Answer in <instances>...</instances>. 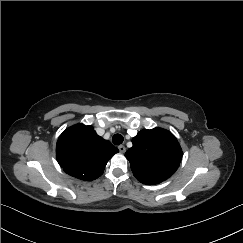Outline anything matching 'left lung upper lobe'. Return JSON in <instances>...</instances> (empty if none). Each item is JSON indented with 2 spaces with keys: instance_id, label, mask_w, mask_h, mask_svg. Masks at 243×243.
<instances>
[{
  "instance_id": "5c2ea615",
  "label": "left lung upper lobe",
  "mask_w": 243,
  "mask_h": 243,
  "mask_svg": "<svg viewBox=\"0 0 243 243\" xmlns=\"http://www.w3.org/2000/svg\"><path fill=\"white\" fill-rule=\"evenodd\" d=\"M125 153L133 175L143 184L154 185L171 177L179 167L182 149L175 136L161 128L141 130Z\"/></svg>"
}]
</instances>
